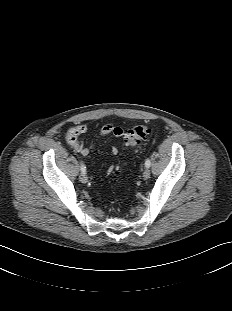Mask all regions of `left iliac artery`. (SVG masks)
<instances>
[{"label": "left iliac artery", "instance_id": "1", "mask_svg": "<svg viewBox=\"0 0 232 311\" xmlns=\"http://www.w3.org/2000/svg\"><path fill=\"white\" fill-rule=\"evenodd\" d=\"M150 165H151V161H150L149 159H147V160L145 161V166H146L147 168H149Z\"/></svg>", "mask_w": 232, "mask_h": 311}]
</instances>
